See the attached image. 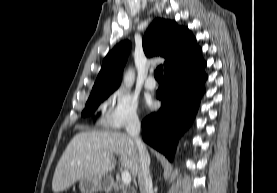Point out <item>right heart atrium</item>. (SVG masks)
<instances>
[{
    "label": "right heart atrium",
    "mask_w": 277,
    "mask_h": 193,
    "mask_svg": "<svg viewBox=\"0 0 277 193\" xmlns=\"http://www.w3.org/2000/svg\"><path fill=\"white\" fill-rule=\"evenodd\" d=\"M140 121L136 99L125 89L114 90L109 97V108L103 117V124L120 130Z\"/></svg>",
    "instance_id": "obj_1"
}]
</instances>
